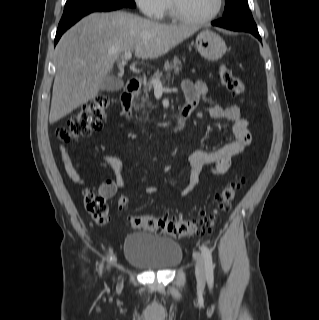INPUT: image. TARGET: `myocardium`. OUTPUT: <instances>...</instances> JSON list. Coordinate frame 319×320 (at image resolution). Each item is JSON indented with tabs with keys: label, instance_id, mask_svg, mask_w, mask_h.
Wrapping results in <instances>:
<instances>
[{
	"label": "myocardium",
	"instance_id": "1",
	"mask_svg": "<svg viewBox=\"0 0 319 320\" xmlns=\"http://www.w3.org/2000/svg\"><path fill=\"white\" fill-rule=\"evenodd\" d=\"M224 6V0H217L216 9L212 14H210L207 17L203 18H193L184 15L178 8L175 0H169V9L170 14L172 18L180 23H186V24H205L213 21L218 17V15L221 13Z\"/></svg>",
	"mask_w": 319,
	"mask_h": 320
}]
</instances>
